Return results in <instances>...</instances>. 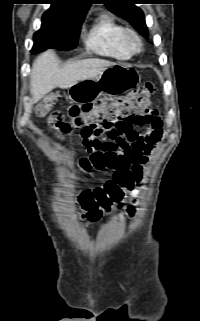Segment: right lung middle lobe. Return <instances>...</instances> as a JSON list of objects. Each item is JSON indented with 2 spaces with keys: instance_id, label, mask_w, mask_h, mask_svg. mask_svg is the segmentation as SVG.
<instances>
[{
  "instance_id": "1",
  "label": "right lung middle lobe",
  "mask_w": 200,
  "mask_h": 321,
  "mask_svg": "<svg viewBox=\"0 0 200 321\" xmlns=\"http://www.w3.org/2000/svg\"><path fill=\"white\" fill-rule=\"evenodd\" d=\"M86 13L55 16L45 12L40 30L34 34L32 53L48 48L69 50L76 47Z\"/></svg>"
}]
</instances>
